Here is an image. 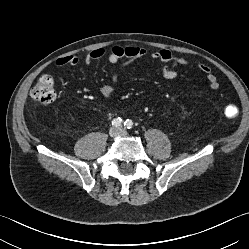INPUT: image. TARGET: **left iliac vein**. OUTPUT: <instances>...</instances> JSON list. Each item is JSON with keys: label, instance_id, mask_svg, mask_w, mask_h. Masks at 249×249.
<instances>
[{"label": "left iliac vein", "instance_id": "obj_1", "mask_svg": "<svg viewBox=\"0 0 249 249\" xmlns=\"http://www.w3.org/2000/svg\"><path fill=\"white\" fill-rule=\"evenodd\" d=\"M119 132H120L121 135H125L126 134L125 131H123L121 129L119 130Z\"/></svg>", "mask_w": 249, "mask_h": 249}]
</instances>
